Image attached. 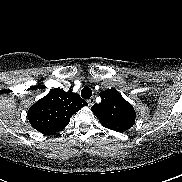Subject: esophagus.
<instances>
[{"mask_svg": "<svg viewBox=\"0 0 182 182\" xmlns=\"http://www.w3.org/2000/svg\"><path fill=\"white\" fill-rule=\"evenodd\" d=\"M94 102H95L94 97H91V98H89V99L87 100V103H88V105H89L90 107L94 104Z\"/></svg>", "mask_w": 182, "mask_h": 182, "instance_id": "esophagus-1", "label": "esophagus"}]
</instances>
